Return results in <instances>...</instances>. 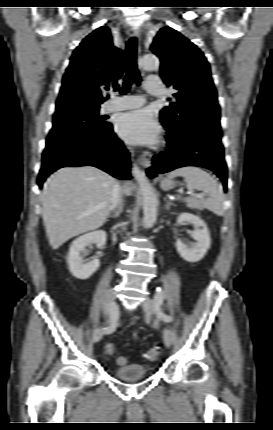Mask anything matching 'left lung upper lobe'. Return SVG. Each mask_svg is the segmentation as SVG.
<instances>
[{"label": "left lung upper lobe", "instance_id": "5c2ea615", "mask_svg": "<svg viewBox=\"0 0 273 430\" xmlns=\"http://www.w3.org/2000/svg\"><path fill=\"white\" fill-rule=\"evenodd\" d=\"M151 50L161 60L164 83L176 90L170 105L161 110V119L177 129L191 125L202 114L220 120L210 67L200 49L173 28L164 27L154 38Z\"/></svg>", "mask_w": 273, "mask_h": 430}]
</instances>
